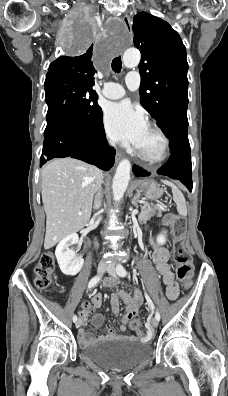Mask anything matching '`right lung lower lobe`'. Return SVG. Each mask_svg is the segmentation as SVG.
<instances>
[{"instance_id": "98d812e1", "label": "right lung lower lobe", "mask_w": 228, "mask_h": 396, "mask_svg": "<svg viewBox=\"0 0 228 396\" xmlns=\"http://www.w3.org/2000/svg\"><path fill=\"white\" fill-rule=\"evenodd\" d=\"M101 112L94 126L57 122L44 132L40 167L53 158L72 157L108 171L114 164L115 150L108 146Z\"/></svg>"}]
</instances>
